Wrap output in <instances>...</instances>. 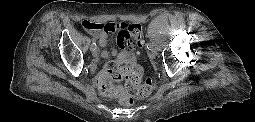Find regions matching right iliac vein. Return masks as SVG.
Masks as SVG:
<instances>
[{
  "mask_svg": "<svg viewBox=\"0 0 255 122\" xmlns=\"http://www.w3.org/2000/svg\"><path fill=\"white\" fill-rule=\"evenodd\" d=\"M90 50H91V53H92V56L93 57H98V55H99V51H98V48H97V46L96 47H90Z\"/></svg>",
  "mask_w": 255,
  "mask_h": 122,
  "instance_id": "1",
  "label": "right iliac vein"
}]
</instances>
